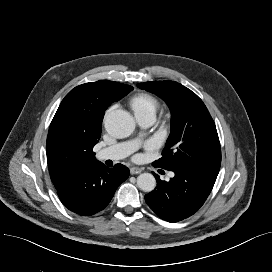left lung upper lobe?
Here are the masks:
<instances>
[{
	"instance_id": "5c2ea615",
	"label": "left lung upper lobe",
	"mask_w": 272,
	"mask_h": 272,
	"mask_svg": "<svg viewBox=\"0 0 272 272\" xmlns=\"http://www.w3.org/2000/svg\"><path fill=\"white\" fill-rule=\"evenodd\" d=\"M137 86L162 98L171 110V133L162 157L154 164L168 170L192 166L220 169L216 126L202 100L190 89L169 80Z\"/></svg>"
}]
</instances>
